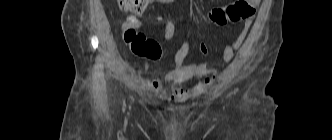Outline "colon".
I'll return each instance as SVG.
<instances>
[{"label":"colon","mask_w":332,"mask_h":140,"mask_svg":"<svg viewBox=\"0 0 332 140\" xmlns=\"http://www.w3.org/2000/svg\"><path fill=\"white\" fill-rule=\"evenodd\" d=\"M150 1L151 0H117L122 11L132 14L122 25L124 42L130 47L134 54L150 59H158L161 56L159 44L138 31L139 21L134 16L142 13ZM259 3L260 0H236L232 4L210 10L208 20L215 26L238 23L253 17ZM180 30L181 27L177 22L169 21L164 27L163 35L166 39H171L177 36Z\"/></svg>","instance_id":"obj_1"}]
</instances>
